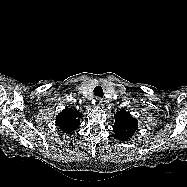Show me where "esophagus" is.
Returning a JSON list of instances; mask_svg holds the SVG:
<instances>
[{
    "mask_svg": "<svg viewBox=\"0 0 187 187\" xmlns=\"http://www.w3.org/2000/svg\"><path fill=\"white\" fill-rule=\"evenodd\" d=\"M96 103L98 106L102 107L104 105L103 100L99 97L96 98Z\"/></svg>",
    "mask_w": 187,
    "mask_h": 187,
    "instance_id": "obj_1",
    "label": "esophagus"
}]
</instances>
